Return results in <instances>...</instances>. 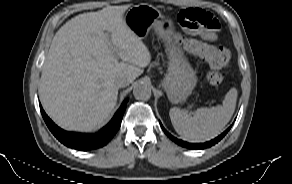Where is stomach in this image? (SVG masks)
I'll use <instances>...</instances> for the list:
<instances>
[{
	"label": "stomach",
	"mask_w": 292,
	"mask_h": 184,
	"mask_svg": "<svg viewBox=\"0 0 292 184\" xmlns=\"http://www.w3.org/2000/svg\"><path fill=\"white\" fill-rule=\"evenodd\" d=\"M126 25L139 38H144L154 28L158 36L170 43L172 27L167 24L161 13L149 5H137L131 7L125 17ZM196 73L192 69L183 52L178 47H172L169 51L168 72L162 81L169 100L178 103L186 100L196 84Z\"/></svg>",
	"instance_id": "0dacf381"
}]
</instances>
